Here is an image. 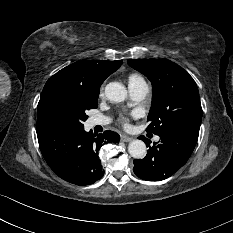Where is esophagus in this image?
Instances as JSON below:
<instances>
[{
  "mask_svg": "<svg viewBox=\"0 0 233 233\" xmlns=\"http://www.w3.org/2000/svg\"><path fill=\"white\" fill-rule=\"evenodd\" d=\"M121 140H122L123 142H130V141L133 140V138L130 137V136H127V135H122V136H121Z\"/></svg>",
  "mask_w": 233,
  "mask_h": 233,
  "instance_id": "1",
  "label": "esophagus"
}]
</instances>
